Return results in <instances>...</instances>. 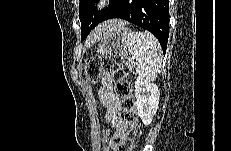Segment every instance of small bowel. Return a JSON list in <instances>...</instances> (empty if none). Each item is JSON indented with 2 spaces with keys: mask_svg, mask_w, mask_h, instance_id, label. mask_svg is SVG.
Returning a JSON list of instances; mask_svg holds the SVG:
<instances>
[{
  "mask_svg": "<svg viewBox=\"0 0 231 151\" xmlns=\"http://www.w3.org/2000/svg\"><path fill=\"white\" fill-rule=\"evenodd\" d=\"M99 97L105 107V120L113 129L109 146L115 148L118 140L126 136L128 123L122 116L121 101L113 91V80L108 74H105L102 78Z\"/></svg>",
  "mask_w": 231,
  "mask_h": 151,
  "instance_id": "c3829d8e",
  "label": "small bowel"
}]
</instances>
